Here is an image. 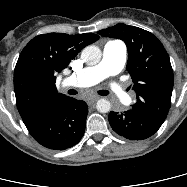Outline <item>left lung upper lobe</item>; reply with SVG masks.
<instances>
[{"label": "left lung upper lobe", "instance_id": "5c2ea615", "mask_svg": "<svg viewBox=\"0 0 187 187\" xmlns=\"http://www.w3.org/2000/svg\"><path fill=\"white\" fill-rule=\"evenodd\" d=\"M98 33L119 38L127 45V70L137 95L132 110L163 123L171 105L174 79L170 59L162 43L144 29L121 23Z\"/></svg>", "mask_w": 187, "mask_h": 187}]
</instances>
